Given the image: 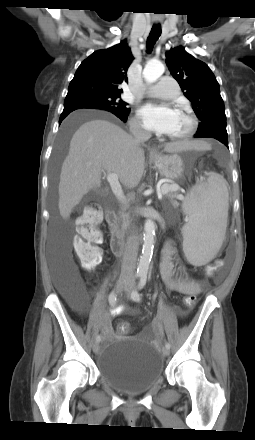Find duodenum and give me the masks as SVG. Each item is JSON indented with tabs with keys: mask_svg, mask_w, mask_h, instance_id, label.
Segmentation results:
<instances>
[{
	"mask_svg": "<svg viewBox=\"0 0 255 440\" xmlns=\"http://www.w3.org/2000/svg\"><path fill=\"white\" fill-rule=\"evenodd\" d=\"M106 221L109 225V228L111 230L112 238H111V249L114 255L121 256L124 253V241L117 230L116 223H117V215L114 209L109 208L106 211Z\"/></svg>",
	"mask_w": 255,
	"mask_h": 440,
	"instance_id": "1",
	"label": "duodenum"
}]
</instances>
